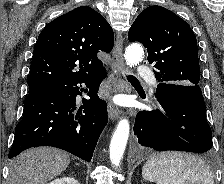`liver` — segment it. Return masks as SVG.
I'll return each mask as SVG.
<instances>
[{
  "mask_svg": "<svg viewBox=\"0 0 224 184\" xmlns=\"http://www.w3.org/2000/svg\"><path fill=\"white\" fill-rule=\"evenodd\" d=\"M70 163L69 154L51 147L22 152L11 161L8 184H46L60 175Z\"/></svg>",
  "mask_w": 224,
  "mask_h": 184,
  "instance_id": "6515ba94",
  "label": "liver"
}]
</instances>
